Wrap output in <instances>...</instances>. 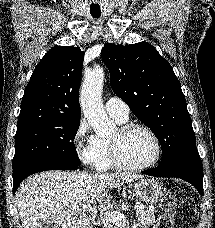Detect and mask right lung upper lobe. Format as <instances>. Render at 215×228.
<instances>
[{
	"label": "right lung upper lobe",
	"mask_w": 215,
	"mask_h": 228,
	"mask_svg": "<svg viewBox=\"0 0 215 228\" xmlns=\"http://www.w3.org/2000/svg\"><path fill=\"white\" fill-rule=\"evenodd\" d=\"M83 59L84 52L73 46H56L44 55L25 89L17 126L80 120Z\"/></svg>",
	"instance_id": "right-lung-upper-lobe-1"
}]
</instances>
